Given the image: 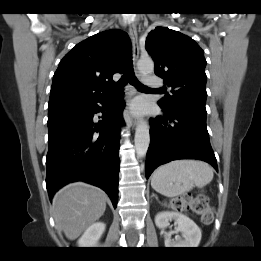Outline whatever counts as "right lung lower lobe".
I'll list each match as a JSON object with an SVG mask.
<instances>
[{"label":"right lung lower lobe","instance_id":"98d812e1","mask_svg":"<svg viewBox=\"0 0 261 261\" xmlns=\"http://www.w3.org/2000/svg\"><path fill=\"white\" fill-rule=\"evenodd\" d=\"M124 106L122 93L115 99L106 94L48 110L46 187L50 199L62 186L80 180L106 191L116 208ZM98 112L103 116L96 121Z\"/></svg>","mask_w":261,"mask_h":261}]
</instances>
